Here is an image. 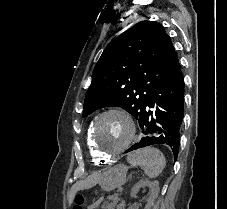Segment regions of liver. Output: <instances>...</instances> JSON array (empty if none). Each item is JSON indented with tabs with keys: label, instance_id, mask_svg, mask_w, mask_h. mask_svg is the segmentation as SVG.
Instances as JSON below:
<instances>
[{
	"label": "liver",
	"instance_id": "obj_1",
	"mask_svg": "<svg viewBox=\"0 0 227 209\" xmlns=\"http://www.w3.org/2000/svg\"><path fill=\"white\" fill-rule=\"evenodd\" d=\"M74 195H75V193H72V191H71V193H70V195H69V203H70V205H71V203H72V201H73Z\"/></svg>",
	"mask_w": 227,
	"mask_h": 209
}]
</instances>
